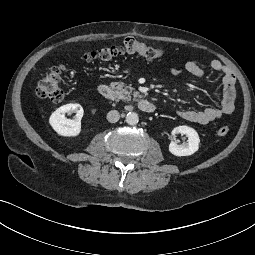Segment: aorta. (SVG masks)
<instances>
[{
    "mask_svg": "<svg viewBox=\"0 0 255 255\" xmlns=\"http://www.w3.org/2000/svg\"><path fill=\"white\" fill-rule=\"evenodd\" d=\"M126 122L129 124V125H136L138 122H139V117H138V114L135 113V112H129L127 115H126Z\"/></svg>",
    "mask_w": 255,
    "mask_h": 255,
    "instance_id": "1",
    "label": "aorta"
}]
</instances>
